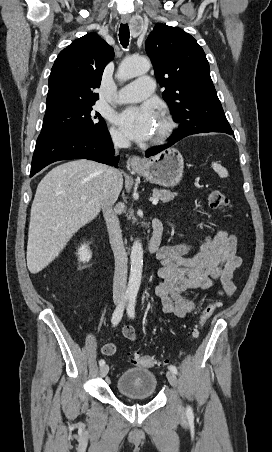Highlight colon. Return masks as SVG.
I'll return each mask as SVG.
<instances>
[{
    "label": "colon",
    "instance_id": "1",
    "mask_svg": "<svg viewBox=\"0 0 272 452\" xmlns=\"http://www.w3.org/2000/svg\"><path fill=\"white\" fill-rule=\"evenodd\" d=\"M207 202L210 208L215 210H227L230 207L228 197L219 189L211 188L207 191ZM215 309V304H209L199 310L198 326L190 334L191 337L198 336L201 328L207 323ZM128 361L134 366L140 367H154L159 365V361L150 355L134 354L128 356Z\"/></svg>",
    "mask_w": 272,
    "mask_h": 452
}]
</instances>
